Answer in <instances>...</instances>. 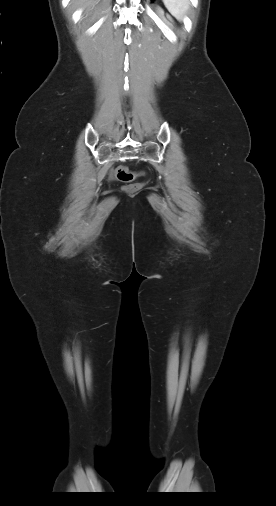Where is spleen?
<instances>
[{
	"mask_svg": "<svg viewBox=\"0 0 276 506\" xmlns=\"http://www.w3.org/2000/svg\"><path fill=\"white\" fill-rule=\"evenodd\" d=\"M168 11L179 21L186 15L190 2L189 0H163Z\"/></svg>",
	"mask_w": 276,
	"mask_h": 506,
	"instance_id": "spleen-1",
	"label": "spleen"
}]
</instances>
